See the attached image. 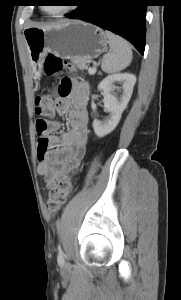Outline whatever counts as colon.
<instances>
[{"instance_id": "colon-1", "label": "colon", "mask_w": 181, "mask_h": 300, "mask_svg": "<svg viewBox=\"0 0 181 300\" xmlns=\"http://www.w3.org/2000/svg\"><path fill=\"white\" fill-rule=\"evenodd\" d=\"M72 63L63 60L55 55H48L42 65V73L45 77L51 78L63 70L72 71ZM36 113L44 116V119L36 123V131L39 139H43L48 131V121L55 116V106L48 94H43L36 99ZM73 191V180L64 178L53 188L46 200V208L51 214H56L62 205L68 200Z\"/></svg>"}]
</instances>
